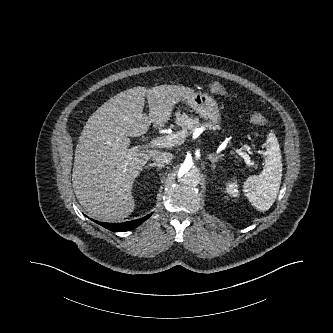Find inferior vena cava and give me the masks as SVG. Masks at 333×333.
Returning a JSON list of instances; mask_svg holds the SVG:
<instances>
[{
    "label": "inferior vena cava",
    "instance_id": "1",
    "mask_svg": "<svg viewBox=\"0 0 333 333\" xmlns=\"http://www.w3.org/2000/svg\"><path fill=\"white\" fill-rule=\"evenodd\" d=\"M173 155L167 152H157L152 156V159L159 164H168L171 162Z\"/></svg>",
    "mask_w": 333,
    "mask_h": 333
}]
</instances>
